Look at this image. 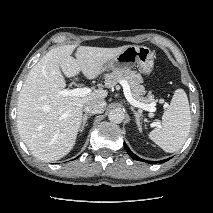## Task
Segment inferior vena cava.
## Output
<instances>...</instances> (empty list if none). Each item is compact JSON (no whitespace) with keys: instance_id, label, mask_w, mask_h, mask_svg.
<instances>
[{"instance_id":"obj_1","label":"inferior vena cava","mask_w":213,"mask_h":213,"mask_svg":"<svg viewBox=\"0 0 213 213\" xmlns=\"http://www.w3.org/2000/svg\"><path fill=\"white\" fill-rule=\"evenodd\" d=\"M106 108V102L104 100H94L86 103L83 110L89 114H100L104 112Z\"/></svg>"}]
</instances>
